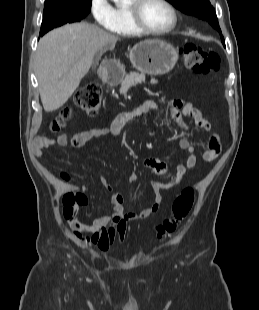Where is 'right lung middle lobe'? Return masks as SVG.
<instances>
[{
  "instance_id": "obj_1",
  "label": "right lung middle lobe",
  "mask_w": 259,
  "mask_h": 310,
  "mask_svg": "<svg viewBox=\"0 0 259 310\" xmlns=\"http://www.w3.org/2000/svg\"><path fill=\"white\" fill-rule=\"evenodd\" d=\"M91 10V0L45 3L40 36L66 23L79 22Z\"/></svg>"
}]
</instances>
